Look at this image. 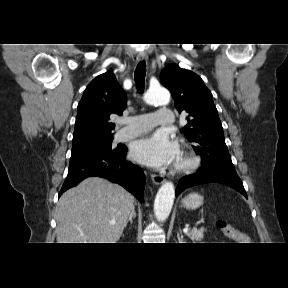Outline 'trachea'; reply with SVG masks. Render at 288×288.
<instances>
[{"mask_svg":"<svg viewBox=\"0 0 288 288\" xmlns=\"http://www.w3.org/2000/svg\"><path fill=\"white\" fill-rule=\"evenodd\" d=\"M145 74H146V64L145 61H141L137 65L134 73L135 83L139 93H142L145 87Z\"/></svg>","mask_w":288,"mask_h":288,"instance_id":"obj_1","label":"trachea"}]
</instances>
